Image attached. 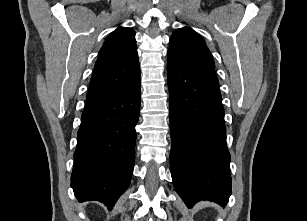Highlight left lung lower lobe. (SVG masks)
<instances>
[{
    "mask_svg": "<svg viewBox=\"0 0 307 221\" xmlns=\"http://www.w3.org/2000/svg\"><path fill=\"white\" fill-rule=\"evenodd\" d=\"M170 169L188 208L210 200L225 206L231 195L230 154L219 88L168 54Z\"/></svg>",
    "mask_w": 307,
    "mask_h": 221,
    "instance_id": "0a47b994",
    "label": "left lung lower lobe"
}]
</instances>
